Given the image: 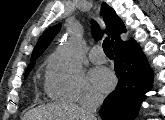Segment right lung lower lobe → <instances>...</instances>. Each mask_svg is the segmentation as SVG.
Segmentation results:
<instances>
[{"label":"right lung lower lobe","mask_w":165,"mask_h":120,"mask_svg":"<svg viewBox=\"0 0 165 120\" xmlns=\"http://www.w3.org/2000/svg\"><path fill=\"white\" fill-rule=\"evenodd\" d=\"M113 49L118 85L104 100L100 116L103 120H133L152 86L153 71L134 40L120 43Z\"/></svg>","instance_id":"right-lung-lower-lobe-1"}]
</instances>
